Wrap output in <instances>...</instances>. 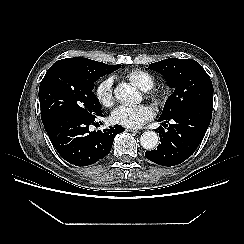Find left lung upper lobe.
<instances>
[{
	"instance_id": "1",
	"label": "left lung upper lobe",
	"mask_w": 244,
	"mask_h": 244,
	"mask_svg": "<svg viewBox=\"0 0 244 244\" xmlns=\"http://www.w3.org/2000/svg\"><path fill=\"white\" fill-rule=\"evenodd\" d=\"M163 74L174 92L167 99L160 117L167 118L190 107L213 108V85L209 75L193 59L169 58L149 64Z\"/></svg>"
}]
</instances>
